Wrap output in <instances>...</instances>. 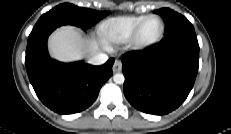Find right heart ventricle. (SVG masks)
Masks as SVG:
<instances>
[{
  "instance_id": "obj_1",
  "label": "right heart ventricle",
  "mask_w": 231,
  "mask_h": 134,
  "mask_svg": "<svg viewBox=\"0 0 231 134\" xmlns=\"http://www.w3.org/2000/svg\"><path fill=\"white\" fill-rule=\"evenodd\" d=\"M145 17L146 15H129L109 18L100 24L99 35L109 46L126 43Z\"/></svg>"
}]
</instances>
